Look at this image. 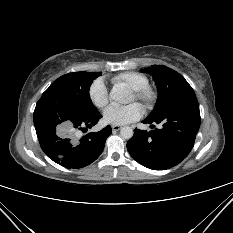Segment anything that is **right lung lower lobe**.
I'll return each instance as SVG.
<instances>
[{"instance_id":"obj_1","label":"right lung lower lobe","mask_w":233,"mask_h":233,"mask_svg":"<svg viewBox=\"0 0 233 233\" xmlns=\"http://www.w3.org/2000/svg\"><path fill=\"white\" fill-rule=\"evenodd\" d=\"M102 115L96 111L82 114L69 110L50 97H41L34 111V125L42 150L54 162L66 168H81L94 162L102 153L108 125L99 132L78 137L96 125Z\"/></svg>"}]
</instances>
